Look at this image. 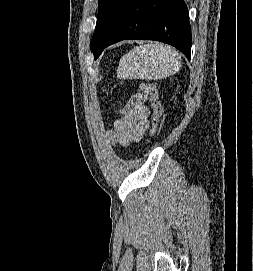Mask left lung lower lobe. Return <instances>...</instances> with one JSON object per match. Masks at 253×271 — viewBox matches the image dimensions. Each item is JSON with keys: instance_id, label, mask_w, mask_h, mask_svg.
<instances>
[{"instance_id": "0a47b994", "label": "left lung lower lobe", "mask_w": 253, "mask_h": 271, "mask_svg": "<svg viewBox=\"0 0 253 271\" xmlns=\"http://www.w3.org/2000/svg\"><path fill=\"white\" fill-rule=\"evenodd\" d=\"M125 39L161 41L176 47L190 60L191 27L185 2L130 0L125 14L99 55L107 46Z\"/></svg>"}]
</instances>
